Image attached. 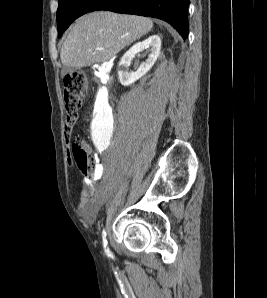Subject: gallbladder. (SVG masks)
Masks as SVG:
<instances>
[{"instance_id":"1","label":"gallbladder","mask_w":267,"mask_h":298,"mask_svg":"<svg viewBox=\"0 0 267 298\" xmlns=\"http://www.w3.org/2000/svg\"><path fill=\"white\" fill-rule=\"evenodd\" d=\"M71 71H72V68H70V67H64L63 68V74H67V73H69Z\"/></svg>"}]
</instances>
